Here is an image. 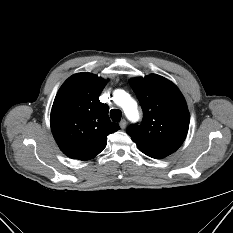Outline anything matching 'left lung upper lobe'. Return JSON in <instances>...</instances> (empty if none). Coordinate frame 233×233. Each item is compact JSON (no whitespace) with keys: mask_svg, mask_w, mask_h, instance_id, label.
Segmentation results:
<instances>
[{"mask_svg":"<svg viewBox=\"0 0 233 233\" xmlns=\"http://www.w3.org/2000/svg\"><path fill=\"white\" fill-rule=\"evenodd\" d=\"M143 110V121L130 125L127 133L146 155L168 156L186 138L189 111L177 86L166 78L150 74L130 81Z\"/></svg>","mask_w":233,"mask_h":233,"instance_id":"1","label":"left lung upper lobe"}]
</instances>
